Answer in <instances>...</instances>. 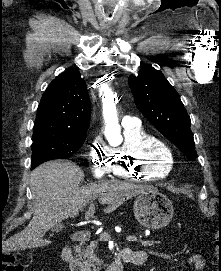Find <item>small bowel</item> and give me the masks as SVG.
Masks as SVG:
<instances>
[{"instance_id": "small-bowel-1", "label": "small bowel", "mask_w": 221, "mask_h": 271, "mask_svg": "<svg viewBox=\"0 0 221 271\" xmlns=\"http://www.w3.org/2000/svg\"><path fill=\"white\" fill-rule=\"evenodd\" d=\"M131 252L133 257H137L140 255L145 256V252L140 251V250H130L127 249ZM183 266H189L192 268L193 271H200L203 267H204V260L202 259V257L198 254H194L192 256H190L184 263Z\"/></svg>"}]
</instances>
